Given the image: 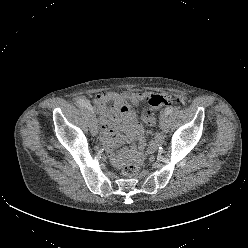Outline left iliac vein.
<instances>
[{
    "label": "left iliac vein",
    "instance_id": "4c4485c4",
    "mask_svg": "<svg viewBox=\"0 0 248 248\" xmlns=\"http://www.w3.org/2000/svg\"><path fill=\"white\" fill-rule=\"evenodd\" d=\"M160 127L163 132H167L169 128L168 123V114L166 112H163L160 117Z\"/></svg>",
    "mask_w": 248,
    "mask_h": 248
}]
</instances>
